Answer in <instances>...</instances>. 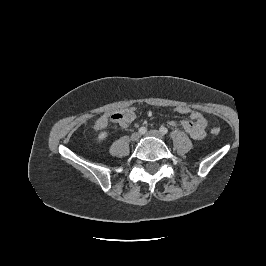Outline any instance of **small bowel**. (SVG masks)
Instances as JSON below:
<instances>
[{
  "mask_svg": "<svg viewBox=\"0 0 266 266\" xmlns=\"http://www.w3.org/2000/svg\"><path fill=\"white\" fill-rule=\"evenodd\" d=\"M135 117V116H134ZM134 117L131 118L130 120H127L123 123L120 124L121 127L126 128L129 126V124L134 120ZM109 121V114L104 113L102 114L94 124L95 130H102L108 125ZM170 124L172 126H176L180 124L183 129L195 140H201L205 137L206 135V125L207 122L205 118L196 111H193L192 114L190 115V120H182L181 122L177 121H170Z\"/></svg>",
  "mask_w": 266,
  "mask_h": 266,
  "instance_id": "obj_1",
  "label": "small bowel"
}]
</instances>
